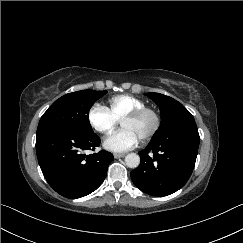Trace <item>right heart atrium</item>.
Listing matches in <instances>:
<instances>
[{"label": "right heart atrium", "instance_id": "right-heart-atrium-1", "mask_svg": "<svg viewBox=\"0 0 243 243\" xmlns=\"http://www.w3.org/2000/svg\"><path fill=\"white\" fill-rule=\"evenodd\" d=\"M87 120L95 131L102 134L109 133L118 122L110 110L101 104H94L89 108Z\"/></svg>", "mask_w": 243, "mask_h": 243}]
</instances>
